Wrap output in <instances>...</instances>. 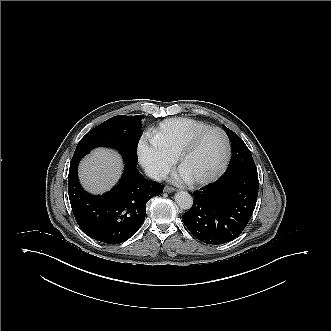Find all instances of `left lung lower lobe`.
I'll return each instance as SVG.
<instances>
[{
    "mask_svg": "<svg viewBox=\"0 0 331 331\" xmlns=\"http://www.w3.org/2000/svg\"><path fill=\"white\" fill-rule=\"evenodd\" d=\"M258 174L235 172L194 193L192 208L182 221L193 236L207 244H223L238 237L254 211Z\"/></svg>",
    "mask_w": 331,
    "mask_h": 331,
    "instance_id": "0a47b994",
    "label": "left lung lower lobe"
}]
</instances>
